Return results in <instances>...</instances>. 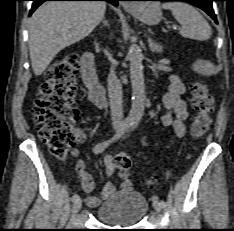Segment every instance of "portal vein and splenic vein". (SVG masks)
Here are the masks:
<instances>
[{"instance_id":"obj_1","label":"portal vein and splenic vein","mask_w":234,"mask_h":231,"mask_svg":"<svg viewBox=\"0 0 234 231\" xmlns=\"http://www.w3.org/2000/svg\"><path fill=\"white\" fill-rule=\"evenodd\" d=\"M177 28V26L176 25H173V29H176Z\"/></svg>"}]
</instances>
